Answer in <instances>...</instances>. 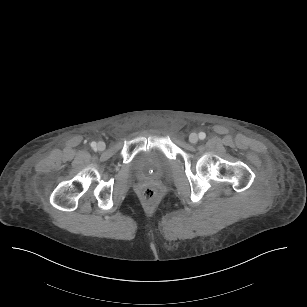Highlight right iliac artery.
<instances>
[{"label": "right iliac artery", "mask_w": 307, "mask_h": 307, "mask_svg": "<svg viewBox=\"0 0 307 307\" xmlns=\"http://www.w3.org/2000/svg\"><path fill=\"white\" fill-rule=\"evenodd\" d=\"M91 147L95 148V147H96V143H95V142H92V143H91Z\"/></svg>", "instance_id": "1"}]
</instances>
